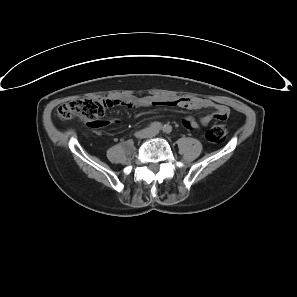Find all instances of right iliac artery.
Listing matches in <instances>:
<instances>
[{"label": "right iliac artery", "mask_w": 297, "mask_h": 297, "mask_svg": "<svg viewBox=\"0 0 297 297\" xmlns=\"http://www.w3.org/2000/svg\"><path fill=\"white\" fill-rule=\"evenodd\" d=\"M150 127L153 129H157V130H160L163 128L162 124L160 122H153V123H151Z\"/></svg>", "instance_id": "obj_1"}]
</instances>
